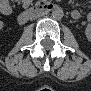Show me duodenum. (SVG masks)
I'll return each mask as SVG.
<instances>
[{
    "instance_id": "1",
    "label": "duodenum",
    "mask_w": 91,
    "mask_h": 91,
    "mask_svg": "<svg viewBox=\"0 0 91 91\" xmlns=\"http://www.w3.org/2000/svg\"><path fill=\"white\" fill-rule=\"evenodd\" d=\"M56 7L57 6L54 3H41L32 5L18 16V23L21 25L25 24L37 16L44 15L51 10H54Z\"/></svg>"
}]
</instances>
